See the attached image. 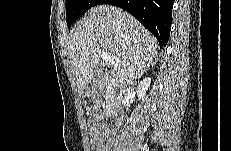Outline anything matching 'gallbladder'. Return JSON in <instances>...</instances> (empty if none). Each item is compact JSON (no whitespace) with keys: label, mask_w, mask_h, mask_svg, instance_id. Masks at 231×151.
<instances>
[{"label":"gallbladder","mask_w":231,"mask_h":151,"mask_svg":"<svg viewBox=\"0 0 231 151\" xmlns=\"http://www.w3.org/2000/svg\"><path fill=\"white\" fill-rule=\"evenodd\" d=\"M98 77H99V70L96 69L95 72H94V75L92 77V80H91L90 84L88 85V87L85 90V93H84L85 95H88L91 92L92 87L94 86V84L97 81Z\"/></svg>","instance_id":"gallbladder-1"}]
</instances>
